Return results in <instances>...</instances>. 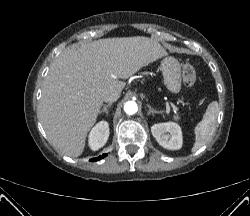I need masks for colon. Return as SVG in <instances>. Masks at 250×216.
<instances>
[{
  "label": "colon",
  "instance_id": "obj_1",
  "mask_svg": "<svg viewBox=\"0 0 250 216\" xmlns=\"http://www.w3.org/2000/svg\"><path fill=\"white\" fill-rule=\"evenodd\" d=\"M196 78H197L196 71L194 67L192 66V64L187 61L184 62L183 67H182L183 84L186 87L191 88L194 86L196 82Z\"/></svg>",
  "mask_w": 250,
  "mask_h": 216
}]
</instances>
